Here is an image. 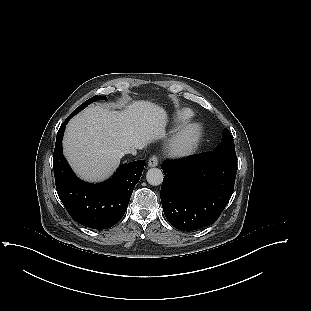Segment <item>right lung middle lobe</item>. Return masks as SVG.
<instances>
[{"mask_svg":"<svg viewBox=\"0 0 311 311\" xmlns=\"http://www.w3.org/2000/svg\"><path fill=\"white\" fill-rule=\"evenodd\" d=\"M98 99H102V100H107L106 97H98L97 95L88 99L87 101H85L83 104H81L76 110H74L71 114L74 116L75 114H77L78 112H80L82 109H84L85 107H87L89 104H91L92 102L98 100Z\"/></svg>","mask_w":311,"mask_h":311,"instance_id":"right-lung-middle-lobe-1","label":"right lung middle lobe"}]
</instances>
